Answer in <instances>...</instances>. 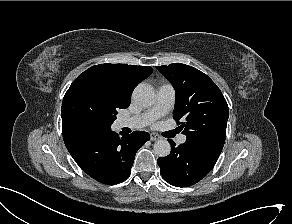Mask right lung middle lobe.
Instances as JSON below:
<instances>
[{
  "mask_svg": "<svg viewBox=\"0 0 292 224\" xmlns=\"http://www.w3.org/2000/svg\"><path fill=\"white\" fill-rule=\"evenodd\" d=\"M118 109L121 107L100 78L95 75L78 76L63 98L62 128L110 130Z\"/></svg>",
  "mask_w": 292,
  "mask_h": 224,
  "instance_id": "right-lung-middle-lobe-1",
  "label": "right lung middle lobe"
}]
</instances>
